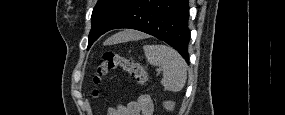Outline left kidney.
<instances>
[{
  "instance_id": "left-kidney-1",
  "label": "left kidney",
  "mask_w": 285,
  "mask_h": 115,
  "mask_svg": "<svg viewBox=\"0 0 285 115\" xmlns=\"http://www.w3.org/2000/svg\"><path fill=\"white\" fill-rule=\"evenodd\" d=\"M163 106L166 110L172 111L174 109L175 103L171 101H166L163 103Z\"/></svg>"
}]
</instances>
